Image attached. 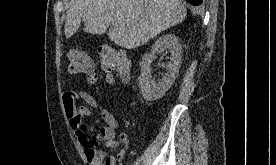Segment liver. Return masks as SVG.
Wrapping results in <instances>:
<instances>
[{
    "label": "liver",
    "mask_w": 276,
    "mask_h": 165,
    "mask_svg": "<svg viewBox=\"0 0 276 165\" xmlns=\"http://www.w3.org/2000/svg\"><path fill=\"white\" fill-rule=\"evenodd\" d=\"M187 10L180 0H75L67 11L65 36L84 22V30L103 34L116 45L135 49L162 31L181 23Z\"/></svg>",
    "instance_id": "liver-1"
}]
</instances>
